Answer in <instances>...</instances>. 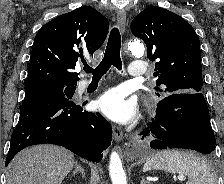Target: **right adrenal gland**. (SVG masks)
<instances>
[{
    "label": "right adrenal gland",
    "mask_w": 224,
    "mask_h": 184,
    "mask_svg": "<svg viewBox=\"0 0 224 184\" xmlns=\"http://www.w3.org/2000/svg\"><path fill=\"white\" fill-rule=\"evenodd\" d=\"M75 166H76V169L73 171V175L75 176L78 172H81L82 177H84L85 176L84 169L81 167L80 164L77 163V161H75Z\"/></svg>",
    "instance_id": "obj_1"
}]
</instances>
